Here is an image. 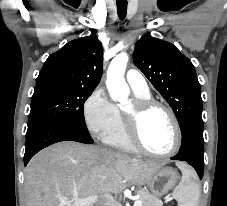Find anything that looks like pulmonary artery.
<instances>
[{"mask_svg":"<svg viewBox=\"0 0 227 206\" xmlns=\"http://www.w3.org/2000/svg\"><path fill=\"white\" fill-rule=\"evenodd\" d=\"M126 80L135 93H149L147 82L139 71L135 69L128 70L126 73Z\"/></svg>","mask_w":227,"mask_h":206,"instance_id":"obj_1","label":"pulmonary artery"}]
</instances>
